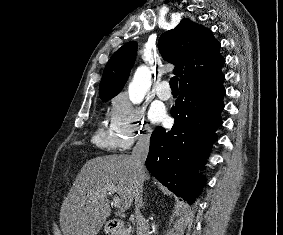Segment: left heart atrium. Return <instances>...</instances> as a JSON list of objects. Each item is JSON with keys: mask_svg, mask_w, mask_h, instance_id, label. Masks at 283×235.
<instances>
[{"mask_svg": "<svg viewBox=\"0 0 283 235\" xmlns=\"http://www.w3.org/2000/svg\"><path fill=\"white\" fill-rule=\"evenodd\" d=\"M150 117L154 122H165L167 120L164 109L155 107L150 112Z\"/></svg>", "mask_w": 283, "mask_h": 235, "instance_id": "obj_1", "label": "left heart atrium"}]
</instances>
